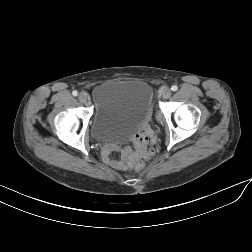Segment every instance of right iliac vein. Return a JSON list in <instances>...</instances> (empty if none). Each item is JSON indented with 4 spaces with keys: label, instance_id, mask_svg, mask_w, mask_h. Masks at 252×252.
I'll return each instance as SVG.
<instances>
[{
    "label": "right iliac vein",
    "instance_id": "obj_1",
    "mask_svg": "<svg viewBox=\"0 0 252 252\" xmlns=\"http://www.w3.org/2000/svg\"><path fill=\"white\" fill-rule=\"evenodd\" d=\"M78 99L80 102L87 104L89 102V95L86 92H81Z\"/></svg>",
    "mask_w": 252,
    "mask_h": 252
}]
</instances>
